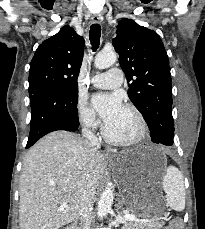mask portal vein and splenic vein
<instances>
[{"instance_id": "18ae733b", "label": "portal vein and splenic vein", "mask_w": 205, "mask_h": 229, "mask_svg": "<svg viewBox=\"0 0 205 229\" xmlns=\"http://www.w3.org/2000/svg\"><path fill=\"white\" fill-rule=\"evenodd\" d=\"M126 217L129 218L130 220L135 219V216H134V215H129V214H128V215H126Z\"/></svg>"}]
</instances>
